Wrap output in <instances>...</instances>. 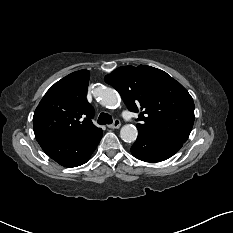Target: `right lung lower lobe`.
<instances>
[{"instance_id": "obj_1", "label": "right lung lower lobe", "mask_w": 233, "mask_h": 233, "mask_svg": "<svg viewBox=\"0 0 233 233\" xmlns=\"http://www.w3.org/2000/svg\"><path fill=\"white\" fill-rule=\"evenodd\" d=\"M102 138V130L78 141L48 140L39 142L44 152L57 163L76 167L86 163Z\"/></svg>"}]
</instances>
